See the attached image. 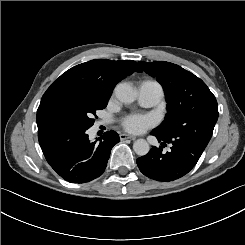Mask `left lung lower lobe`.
<instances>
[{
	"label": "left lung lower lobe",
	"mask_w": 245,
	"mask_h": 245,
	"mask_svg": "<svg viewBox=\"0 0 245 245\" xmlns=\"http://www.w3.org/2000/svg\"><path fill=\"white\" fill-rule=\"evenodd\" d=\"M205 130L212 129L204 127L200 131L174 136L162 135L155 129L152 130L151 134L162 142V147L166 143L172 144L171 151L165 153L162 152V147H153L147 155L137 159L140 171L156 181L170 182L182 178L196 165L212 136Z\"/></svg>",
	"instance_id": "1"
}]
</instances>
